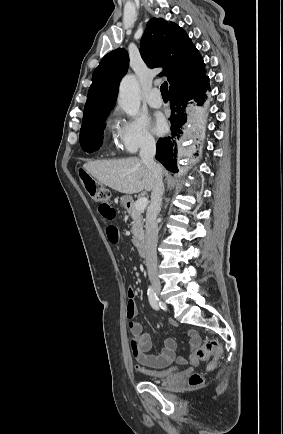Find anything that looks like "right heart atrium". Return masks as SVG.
Wrapping results in <instances>:
<instances>
[{
  "instance_id": "d8ad5b80",
  "label": "right heart atrium",
  "mask_w": 283,
  "mask_h": 434,
  "mask_svg": "<svg viewBox=\"0 0 283 434\" xmlns=\"http://www.w3.org/2000/svg\"><path fill=\"white\" fill-rule=\"evenodd\" d=\"M117 147L128 154L154 145L148 121L141 116L119 118L116 122Z\"/></svg>"
}]
</instances>
